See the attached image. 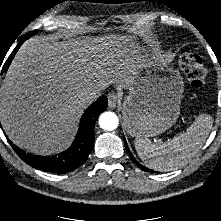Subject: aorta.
Segmentation results:
<instances>
[{"instance_id": "aorta-1", "label": "aorta", "mask_w": 221, "mask_h": 221, "mask_svg": "<svg viewBox=\"0 0 221 221\" xmlns=\"http://www.w3.org/2000/svg\"><path fill=\"white\" fill-rule=\"evenodd\" d=\"M119 119L114 112H104L99 117V125L102 129L113 131L118 127Z\"/></svg>"}]
</instances>
